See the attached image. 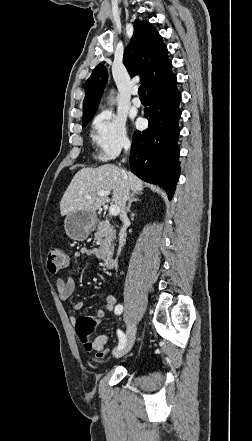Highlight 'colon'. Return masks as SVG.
<instances>
[{
    "mask_svg": "<svg viewBox=\"0 0 252 441\" xmlns=\"http://www.w3.org/2000/svg\"><path fill=\"white\" fill-rule=\"evenodd\" d=\"M68 263V256L63 250L56 247L49 249L47 253V269L50 273H57L59 270L65 268ZM104 318V315L101 316L96 313L79 317L75 322V330L88 351L93 349L92 342H90L89 338L95 332L97 323ZM95 356L102 359L106 356V351H95Z\"/></svg>",
    "mask_w": 252,
    "mask_h": 441,
    "instance_id": "5ec220e1",
    "label": "colon"
}]
</instances>
